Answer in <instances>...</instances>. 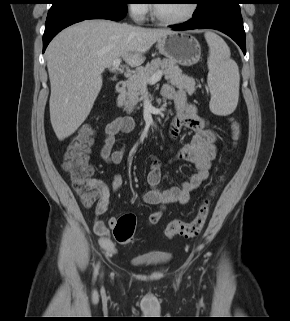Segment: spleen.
I'll return each instance as SVG.
<instances>
[{
  "label": "spleen",
  "mask_w": 290,
  "mask_h": 321,
  "mask_svg": "<svg viewBox=\"0 0 290 321\" xmlns=\"http://www.w3.org/2000/svg\"><path fill=\"white\" fill-rule=\"evenodd\" d=\"M209 46L208 85L211 92L210 110L216 115H229L237 107L239 98V69L230 58L225 41L213 32H206Z\"/></svg>",
  "instance_id": "1"
}]
</instances>
